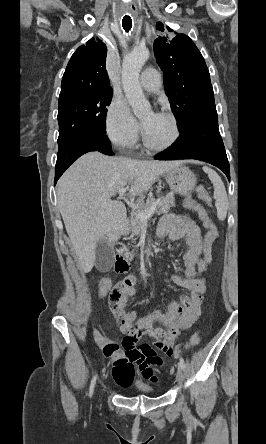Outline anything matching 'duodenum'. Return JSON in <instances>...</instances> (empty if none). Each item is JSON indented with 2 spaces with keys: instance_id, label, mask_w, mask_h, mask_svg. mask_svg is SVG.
<instances>
[{
  "instance_id": "duodenum-1",
  "label": "duodenum",
  "mask_w": 266,
  "mask_h": 444,
  "mask_svg": "<svg viewBox=\"0 0 266 444\" xmlns=\"http://www.w3.org/2000/svg\"><path fill=\"white\" fill-rule=\"evenodd\" d=\"M131 263L126 255L120 250L116 254L115 267L117 271L126 272L130 269Z\"/></svg>"
}]
</instances>
